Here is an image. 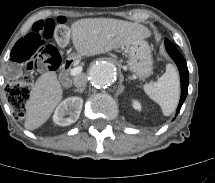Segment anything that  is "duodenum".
<instances>
[{"label": "duodenum", "mask_w": 215, "mask_h": 183, "mask_svg": "<svg viewBox=\"0 0 215 183\" xmlns=\"http://www.w3.org/2000/svg\"><path fill=\"white\" fill-rule=\"evenodd\" d=\"M73 64L74 60L71 57H68L63 61L59 77L60 81L65 87H70L72 84V79L69 74V71L72 68Z\"/></svg>", "instance_id": "1"}]
</instances>
